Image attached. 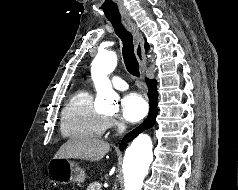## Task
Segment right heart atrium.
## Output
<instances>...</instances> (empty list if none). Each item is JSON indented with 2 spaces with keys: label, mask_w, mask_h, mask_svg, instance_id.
<instances>
[{
  "label": "right heart atrium",
  "mask_w": 238,
  "mask_h": 190,
  "mask_svg": "<svg viewBox=\"0 0 238 190\" xmlns=\"http://www.w3.org/2000/svg\"><path fill=\"white\" fill-rule=\"evenodd\" d=\"M117 122L114 119H108V127H115Z\"/></svg>",
  "instance_id": "d8ad5b80"
}]
</instances>
